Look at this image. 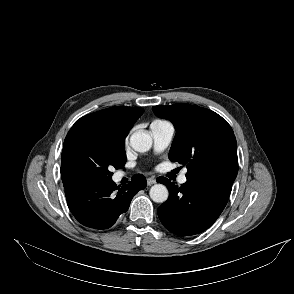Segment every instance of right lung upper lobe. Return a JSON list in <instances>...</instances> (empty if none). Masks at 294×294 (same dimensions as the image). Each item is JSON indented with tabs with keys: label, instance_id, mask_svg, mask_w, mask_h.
<instances>
[{
	"label": "right lung upper lobe",
	"instance_id": "right-lung-upper-lobe-1",
	"mask_svg": "<svg viewBox=\"0 0 294 294\" xmlns=\"http://www.w3.org/2000/svg\"><path fill=\"white\" fill-rule=\"evenodd\" d=\"M143 112L140 107L118 106L83 116L69 130L64 146L79 135H99L125 141Z\"/></svg>",
	"mask_w": 294,
	"mask_h": 294
}]
</instances>
